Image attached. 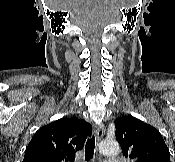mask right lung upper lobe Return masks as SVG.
I'll list each match as a JSON object with an SVG mask.
<instances>
[{"label": "right lung upper lobe", "instance_id": "cb5924a9", "mask_svg": "<svg viewBox=\"0 0 175 162\" xmlns=\"http://www.w3.org/2000/svg\"><path fill=\"white\" fill-rule=\"evenodd\" d=\"M92 133V126L78 118L64 117L40 128L29 142L23 162H73Z\"/></svg>", "mask_w": 175, "mask_h": 162}]
</instances>
